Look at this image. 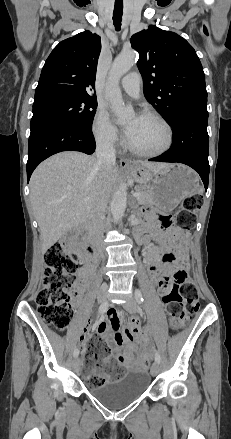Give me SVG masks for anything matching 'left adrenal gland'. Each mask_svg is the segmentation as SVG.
<instances>
[{
	"instance_id": "a2214340",
	"label": "left adrenal gland",
	"mask_w": 231,
	"mask_h": 439,
	"mask_svg": "<svg viewBox=\"0 0 231 439\" xmlns=\"http://www.w3.org/2000/svg\"><path fill=\"white\" fill-rule=\"evenodd\" d=\"M131 207H132L133 211H135L137 209V205L135 204V201L132 202Z\"/></svg>"
}]
</instances>
